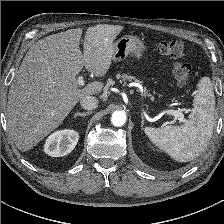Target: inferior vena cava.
<instances>
[{"mask_svg": "<svg viewBox=\"0 0 224 224\" xmlns=\"http://www.w3.org/2000/svg\"><path fill=\"white\" fill-rule=\"evenodd\" d=\"M80 104L86 110H93L98 106V99L94 96H85L81 99Z\"/></svg>", "mask_w": 224, "mask_h": 224, "instance_id": "602c4592", "label": "inferior vena cava"}]
</instances>
